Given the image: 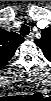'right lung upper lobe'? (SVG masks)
Listing matches in <instances>:
<instances>
[{"label":"right lung upper lobe","instance_id":"1","mask_svg":"<svg viewBox=\"0 0 51 101\" xmlns=\"http://www.w3.org/2000/svg\"><path fill=\"white\" fill-rule=\"evenodd\" d=\"M24 38L15 32H8L0 28V65L6 64L14 55L17 47Z\"/></svg>","mask_w":51,"mask_h":101}]
</instances>
